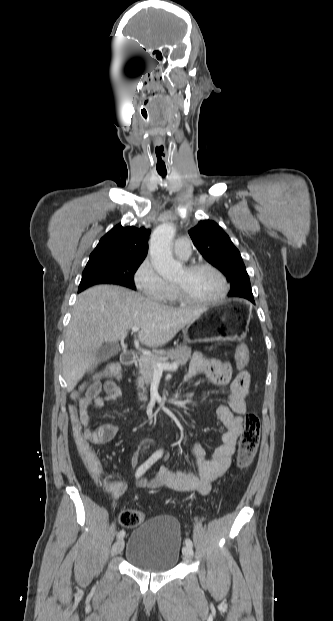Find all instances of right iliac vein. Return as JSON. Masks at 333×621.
Masks as SVG:
<instances>
[{
  "label": "right iliac vein",
  "instance_id": "63e3f726",
  "mask_svg": "<svg viewBox=\"0 0 333 621\" xmlns=\"http://www.w3.org/2000/svg\"><path fill=\"white\" fill-rule=\"evenodd\" d=\"M124 548V540L123 539H119L117 542H115L112 546V550H111V554L117 555L120 554L122 552Z\"/></svg>",
  "mask_w": 333,
  "mask_h": 621
}]
</instances>
